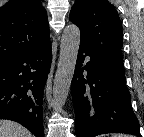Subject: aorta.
Here are the masks:
<instances>
[{"instance_id": "aorta-1", "label": "aorta", "mask_w": 144, "mask_h": 137, "mask_svg": "<svg viewBox=\"0 0 144 137\" xmlns=\"http://www.w3.org/2000/svg\"><path fill=\"white\" fill-rule=\"evenodd\" d=\"M80 46V29L74 24L64 28L61 37L58 67L53 84V99L55 106H64L75 71L78 50Z\"/></svg>"}]
</instances>
